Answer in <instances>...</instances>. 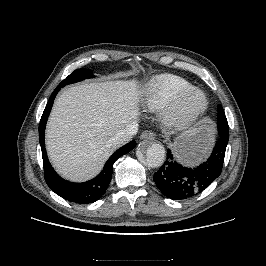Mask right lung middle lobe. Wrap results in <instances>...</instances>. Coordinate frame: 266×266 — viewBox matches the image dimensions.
Listing matches in <instances>:
<instances>
[{
    "label": "right lung middle lobe",
    "instance_id": "right-lung-middle-lobe-1",
    "mask_svg": "<svg viewBox=\"0 0 266 266\" xmlns=\"http://www.w3.org/2000/svg\"><path fill=\"white\" fill-rule=\"evenodd\" d=\"M94 77L90 70L87 69H78L72 72L66 79H64L59 86L64 87L67 84L75 83L81 81L85 78Z\"/></svg>",
    "mask_w": 266,
    "mask_h": 266
}]
</instances>
